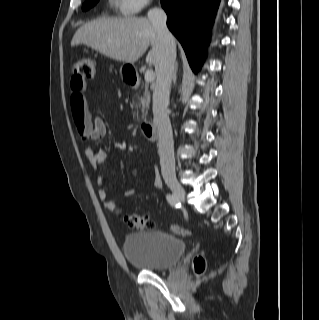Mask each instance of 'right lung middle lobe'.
I'll use <instances>...</instances> for the list:
<instances>
[{"label": "right lung middle lobe", "mask_w": 319, "mask_h": 320, "mask_svg": "<svg viewBox=\"0 0 319 320\" xmlns=\"http://www.w3.org/2000/svg\"><path fill=\"white\" fill-rule=\"evenodd\" d=\"M99 0H87L83 6H82V9L83 10H88L90 9L91 7H93Z\"/></svg>", "instance_id": "obj_1"}]
</instances>
